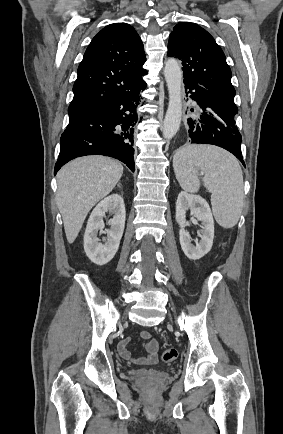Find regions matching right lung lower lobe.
Masks as SVG:
<instances>
[{
	"mask_svg": "<svg viewBox=\"0 0 283 434\" xmlns=\"http://www.w3.org/2000/svg\"><path fill=\"white\" fill-rule=\"evenodd\" d=\"M138 88L95 107L70 115L69 124L60 139V154L54 174L68 161L86 155H105L125 163L135 170L133 143L138 120L136 108Z\"/></svg>",
	"mask_w": 283,
	"mask_h": 434,
	"instance_id": "98d812e1",
	"label": "right lung lower lobe"
}]
</instances>
